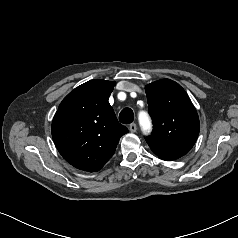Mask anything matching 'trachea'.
<instances>
[{
  "label": "trachea",
  "mask_w": 238,
  "mask_h": 238,
  "mask_svg": "<svg viewBox=\"0 0 238 238\" xmlns=\"http://www.w3.org/2000/svg\"><path fill=\"white\" fill-rule=\"evenodd\" d=\"M133 111L130 108L123 109L119 114V120L123 124H130L133 122Z\"/></svg>",
  "instance_id": "obj_1"
}]
</instances>
